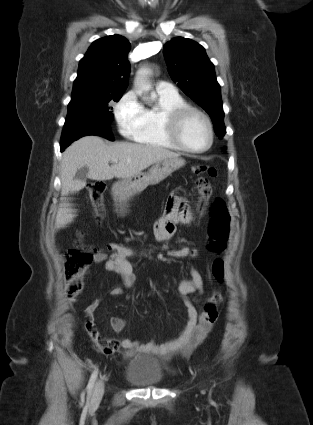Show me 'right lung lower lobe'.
<instances>
[{
	"mask_svg": "<svg viewBox=\"0 0 313 425\" xmlns=\"http://www.w3.org/2000/svg\"><path fill=\"white\" fill-rule=\"evenodd\" d=\"M88 135L105 137L113 141L109 122L102 120L98 116L76 114L71 117L70 122L65 121L61 136V152L68 147L71 142Z\"/></svg>",
	"mask_w": 313,
	"mask_h": 425,
	"instance_id": "1",
	"label": "right lung lower lobe"
}]
</instances>
